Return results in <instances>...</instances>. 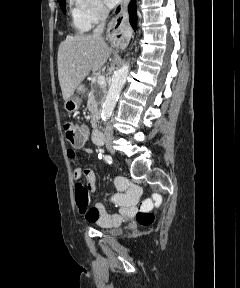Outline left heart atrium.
<instances>
[{
    "label": "left heart atrium",
    "instance_id": "obj_1",
    "mask_svg": "<svg viewBox=\"0 0 240 288\" xmlns=\"http://www.w3.org/2000/svg\"><path fill=\"white\" fill-rule=\"evenodd\" d=\"M105 3L109 6V7H113L115 6L117 3H119L121 0H104Z\"/></svg>",
    "mask_w": 240,
    "mask_h": 288
}]
</instances>
